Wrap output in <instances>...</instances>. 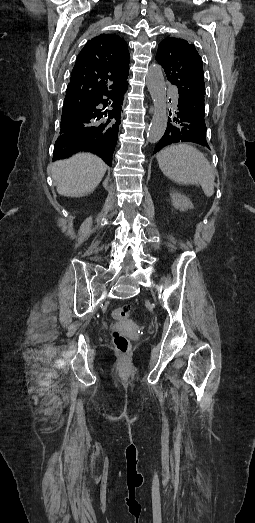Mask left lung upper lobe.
<instances>
[{
    "mask_svg": "<svg viewBox=\"0 0 255 523\" xmlns=\"http://www.w3.org/2000/svg\"><path fill=\"white\" fill-rule=\"evenodd\" d=\"M156 60L178 88V105L191 111L188 115H195L198 121H205L203 65L195 46L183 39L166 38L158 45Z\"/></svg>",
    "mask_w": 255,
    "mask_h": 523,
    "instance_id": "obj_1",
    "label": "left lung upper lobe"
}]
</instances>
